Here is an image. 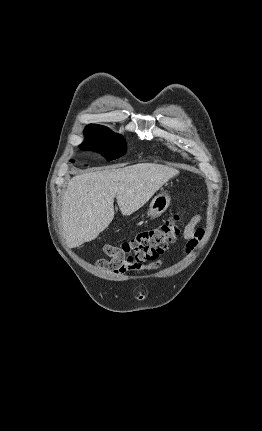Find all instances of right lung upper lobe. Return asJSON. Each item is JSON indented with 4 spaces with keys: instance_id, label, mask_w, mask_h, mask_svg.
Here are the masks:
<instances>
[{
    "instance_id": "cb5924a9",
    "label": "right lung upper lobe",
    "mask_w": 262,
    "mask_h": 431,
    "mask_svg": "<svg viewBox=\"0 0 262 431\" xmlns=\"http://www.w3.org/2000/svg\"><path fill=\"white\" fill-rule=\"evenodd\" d=\"M90 126H100V125H97V124H90V125H88V127H90Z\"/></svg>"
}]
</instances>
